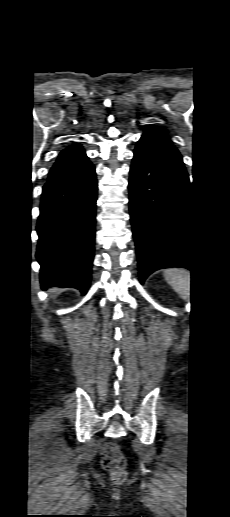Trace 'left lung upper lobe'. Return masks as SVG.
<instances>
[{"label":"left lung upper lobe","mask_w":230,"mask_h":517,"mask_svg":"<svg viewBox=\"0 0 230 517\" xmlns=\"http://www.w3.org/2000/svg\"><path fill=\"white\" fill-rule=\"evenodd\" d=\"M141 138H144V139H150V140H155V141H158V142H162V143H166V144H169V145H172V142L171 140L169 139V137L165 134H162L152 128H147L142 137ZM173 146V145H172Z\"/></svg>","instance_id":"obj_1"}]
</instances>
